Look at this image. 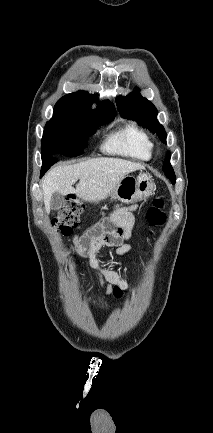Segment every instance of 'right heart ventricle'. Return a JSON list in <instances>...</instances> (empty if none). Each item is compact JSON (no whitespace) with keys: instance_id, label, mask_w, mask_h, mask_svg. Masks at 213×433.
Here are the masks:
<instances>
[{"instance_id":"right-heart-ventricle-1","label":"right heart ventricle","mask_w":213,"mask_h":433,"mask_svg":"<svg viewBox=\"0 0 213 433\" xmlns=\"http://www.w3.org/2000/svg\"><path fill=\"white\" fill-rule=\"evenodd\" d=\"M104 149L111 153L148 160L152 156L153 143L143 130L134 124H128L108 138Z\"/></svg>"}]
</instances>
